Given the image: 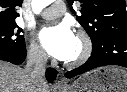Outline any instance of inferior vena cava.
<instances>
[{
    "label": "inferior vena cava",
    "instance_id": "obj_1",
    "mask_svg": "<svg viewBox=\"0 0 127 92\" xmlns=\"http://www.w3.org/2000/svg\"><path fill=\"white\" fill-rule=\"evenodd\" d=\"M48 56L42 49H31L27 55L26 71L30 74V79L38 86L46 85L45 71Z\"/></svg>",
    "mask_w": 127,
    "mask_h": 92
}]
</instances>
